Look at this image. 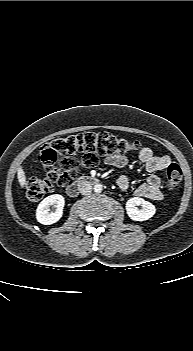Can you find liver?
<instances>
[{"label":"liver","mask_w":193,"mask_h":351,"mask_svg":"<svg viewBox=\"0 0 193 351\" xmlns=\"http://www.w3.org/2000/svg\"><path fill=\"white\" fill-rule=\"evenodd\" d=\"M17 178H18V181H19L20 186L23 188V187L27 184V181H26L25 172H24V170H23L22 167H20V168L18 169Z\"/></svg>","instance_id":"1"}]
</instances>
